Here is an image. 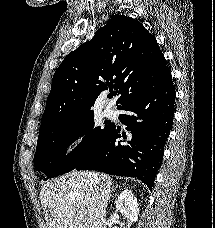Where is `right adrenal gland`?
Masks as SVG:
<instances>
[{"label":"right adrenal gland","instance_id":"right-adrenal-gland-1","mask_svg":"<svg viewBox=\"0 0 215 228\" xmlns=\"http://www.w3.org/2000/svg\"><path fill=\"white\" fill-rule=\"evenodd\" d=\"M115 188H120V186H118V184H117V186H115Z\"/></svg>","mask_w":215,"mask_h":228}]
</instances>
